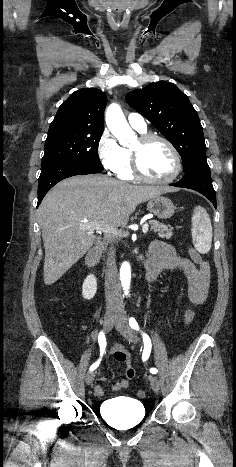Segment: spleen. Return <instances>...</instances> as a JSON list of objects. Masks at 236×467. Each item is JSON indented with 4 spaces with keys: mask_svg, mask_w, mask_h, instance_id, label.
Returning <instances> with one entry per match:
<instances>
[{
    "mask_svg": "<svg viewBox=\"0 0 236 467\" xmlns=\"http://www.w3.org/2000/svg\"><path fill=\"white\" fill-rule=\"evenodd\" d=\"M191 232L196 250L202 254L208 253L212 243L211 220L206 210L200 206L194 209Z\"/></svg>",
    "mask_w": 236,
    "mask_h": 467,
    "instance_id": "spleen-1",
    "label": "spleen"
}]
</instances>
